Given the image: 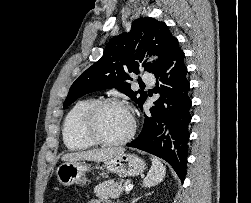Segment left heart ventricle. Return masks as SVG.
Returning a JSON list of instances; mask_svg holds the SVG:
<instances>
[{
    "label": "left heart ventricle",
    "instance_id": "b2bd125f",
    "mask_svg": "<svg viewBox=\"0 0 251 203\" xmlns=\"http://www.w3.org/2000/svg\"><path fill=\"white\" fill-rule=\"evenodd\" d=\"M130 127V114L121 106H106L98 115L97 129L106 139L116 140L122 138L128 133Z\"/></svg>",
    "mask_w": 251,
    "mask_h": 203
}]
</instances>
